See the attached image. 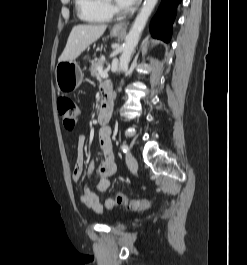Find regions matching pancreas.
<instances>
[{"instance_id":"obj_1","label":"pancreas","mask_w":247,"mask_h":265,"mask_svg":"<svg viewBox=\"0 0 247 265\" xmlns=\"http://www.w3.org/2000/svg\"><path fill=\"white\" fill-rule=\"evenodd\" d=\"M99 68H101L102 70L104 69V61L102 59H99L98 61L92 62L90 69H89L91 76L96 77V78H100L101 73L99 72Z\"/></svg>"}]
</instances>
